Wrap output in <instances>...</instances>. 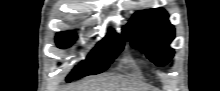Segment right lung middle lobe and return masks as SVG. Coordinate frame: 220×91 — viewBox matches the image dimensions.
<instances>
[{
    "instance_id": "right-lung-middle-lobe-1",
    "label": "right lung middle lobe",
    "mask_w": 220,
    "mask_h": 91,
    "mask_svg": "<svg viewBox=\"0 0 220 91\" xmlns=\"http://www.w3.org/2000/svg\"><path fill=\"white\" fill-rule=\"evenodd\" d=\"M75 39V34L61 32L56 36V44L59 48H67L74 43ZM123 46L124 41L118 34L115 32L108 33L88 54L86 60L73 69L67 76L66 81L71 82L84 76L99 74L105 71L120 51H122Z\"/></svg>"
}]
</instances>
